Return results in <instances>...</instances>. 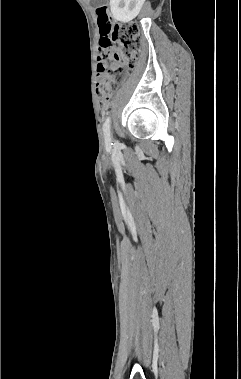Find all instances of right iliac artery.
I'll return each instance as SVG.
<instances>
[{
	"instance_id": "right-iliac-artery-1",
	"label": "right iliac artery",
	"mask_w": 241,
	"mask_h": 379,
	"mask_svg": "<svg viewBox=\"0 0 241 379\" xmlns=\"http://www.w3.org/2000/svg\"><path fill=\"white\" fill-rule=\"evenodd\" d=\"M111 119L108 117L104 123L103 131L107 148H111V132H110Z\"/></svg>"
}]
</instances>
